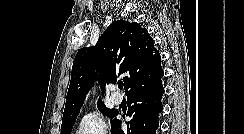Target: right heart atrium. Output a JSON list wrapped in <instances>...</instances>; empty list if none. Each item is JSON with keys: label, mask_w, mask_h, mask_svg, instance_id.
Returning a JSON list of instances; mask_svg holds the SVG:
<instances>
[{"label": "right heart atrium", "mask_w": 244, "mask_h": 134, "mask_svg": "<svg viewBox=\"0 0 244 134\" xmlns=\"http://www.w3.org/2000/svg\"><path fill=\"white\" fill-rule=\"evenodd\" d=\"M75 134H109L105 116L98 111L84 114L77 125Z\"/></svg>", "instance_id": "right-heart-atrium-1"}]
</instances>
